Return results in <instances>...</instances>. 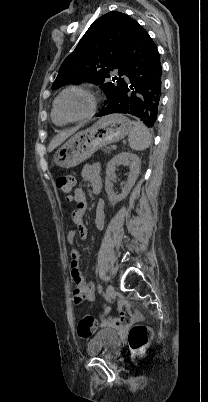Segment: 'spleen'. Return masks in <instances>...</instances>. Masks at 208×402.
<instances>
[{
  "instance_id": "obj_1",
  "label": "spleen",
  "mask_w": 208,
  "mask_h": 402,
  "mask_svg": "<svg viewBox=\"0 0 208 402\" xmlns=\"http://www.w3.org/2000/svg\"><path fill=\"white\" fill-rule=\"evenodd\" d=\"M133 130L129 134V144L132 150H146L151 144L149 130L142 122H132Z\"/></svg>"
}]
</instances>
